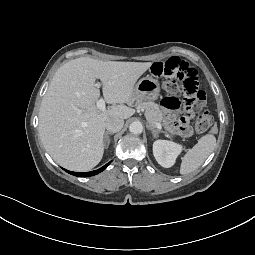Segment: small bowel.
Wrapping results in <instances>:
<instances>
[{
    "label": "small bowel",
    "instance_id": "1",
    "mask_svg": "<svg viewBox=\"0 0 255 255\" xmlns=\"http://www.w3.org/2000/svg\"><path fill=\"white\" fill-rule=\"evenodd\" d=\"M161 105L169 130L181 136H190L192 134V130L189 125L190 117L177 116V110L179 107L178 100L168 97L162 100Z\"/></svg>",
    "mask_w": 255,
    "mask_h": 255
}]
</instances>
